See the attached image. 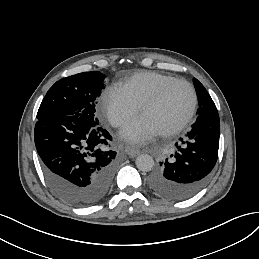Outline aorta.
<instances>
[{
  "mask_svg": "<svg viewBox=\"0 0 259 259\" xmlns=\"http://www.w3.org/2000/svg\"><path fill=\"white\" fill-rule=\"evenodd\" d=\"M136 166L140 171L149 172L154 166V160L148 154H141L136 158Z\"/></svg>",
  "mask_w": 259,
  "mask_h": 259,
  "instance_id": "aorta-1",
  "label": "aorta"
}]
</instances>
